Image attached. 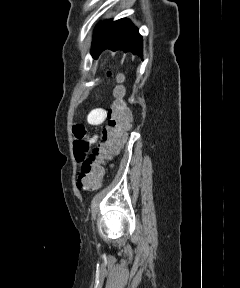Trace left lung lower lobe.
Instances as JSON below:
<instances>
[{"instance_id": "left-lung-lower-lobe-1", "label": "left lung lower lobe", "mask_w": 240, "mask_h": 288, "mask_svg": "<svg viewBox=\"0 0 240 288\" xmlns=\"http://www.w3.org/2000/svg\"><path fill=\"white\" fill-rule=\"evenodd\" d=\"M142 37L138 29L126 18L103 23L96 31L91 54L98 58L104 49L123 50L142 56Z\"/></svg>"}]
</instances>
